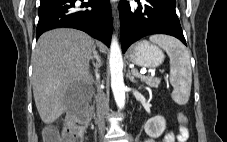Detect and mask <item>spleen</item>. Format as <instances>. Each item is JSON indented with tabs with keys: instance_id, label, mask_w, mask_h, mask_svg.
Returning <instances> with one entry per match:
<instances>
[{
	"instance_id": "spleen-1",
	"label": "spleen",
	"mask_w": 227,
	"mask_h": 142,
	"mask_svg": "<svg viewBox=\"0 0 227 142\" xmlns=\"http://www.w3.org/2000/svg\"><path fill=\"white\" fill-rule=\"evenodd\" d=\"M150 41L163 48L170 58V83L172 99L180 105L188 102L191 92L192 71L190 54L176 38L168 35H152Z\"/></svg>"
}]
</instances>
